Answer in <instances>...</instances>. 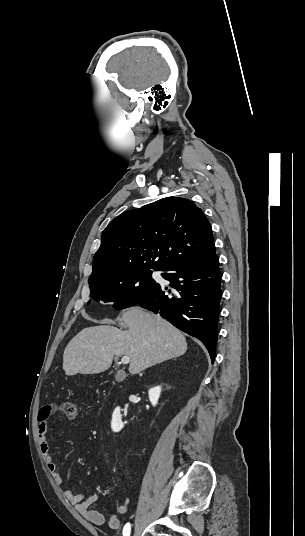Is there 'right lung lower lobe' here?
Wrapping results in <instances>:
<instances>
[{
  "mask_svg": "<svg viewBox=\"0 0 305 536\" xmlns=\"http://www.w3.org/2000/svg\"><path fill=\"white\" fill-rule=\"evenodd\" d=\"M162 277L177 291L165 295L158 284L137 304L160 313L174 326L198 338L215 358L219 303L222 295L219 259L215 245L201 254L164 269Z\"/></svg>",
  "mask_w": 305,
  "mask_h": 536,
  "instance_id": "1",
  "label": "right lung lower lobe"
}]
</instances>
